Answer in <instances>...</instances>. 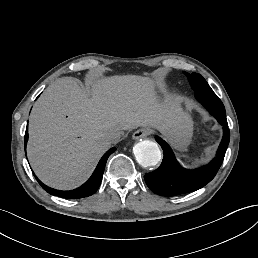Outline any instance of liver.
<instances>
[{
	"mask_svg": "<svg viewBox=\"0 0 258 258\" xmlns=\"http://www.w3.org/2000/svg\"><path fill=\"white\" fill-rule=\"evenodd\" d=\"M62 78L37 99L28 122L27 156L37 178L56 190L83 185L110 148L108 132L157 128L173 137L181 124V100L164 79L129 74L98 78L90 89ZM165 89L162 97L157 84Z\"/></svg>",
	"mask_w": 258,
	"mask_h": 258,
	"instance_id": "liver-1",
	"label": "liver"
}]
</instances>
